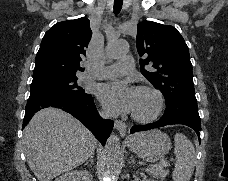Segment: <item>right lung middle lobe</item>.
<instances>
[{
	"label": "right lung middle lobe",
	"mask_w": 228,
	"mask_h": 181,
	"mask_svg": "<svg viewBox=\"0 0 228 181\" xmlns=\"http://www.w3.org/2000/svg\"><path fill=\"white\" fill-rule=\"evenodd\" d=\"M76 75H55L33 79L30 97L39 95H57L65 98L84 101L92 98L77 84Z\"/></svg>",
	"instance_id": "1"
}]
</instances>
